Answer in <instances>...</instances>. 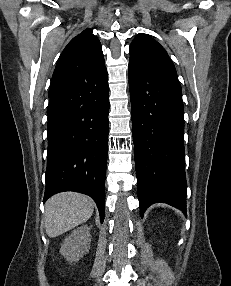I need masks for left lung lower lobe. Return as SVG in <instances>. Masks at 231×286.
Returning <instances> with one entry per match:
<instances>
[{
	"label": "left lung lower lobe",
	"instance_id": "obj_1",
	"mask_svg": "<svg viewBox=\"0 0 231 286\" xmlns=\"http://www.w3.org/2000/svg\"><path fill=\"white\" fill-rule=\"evenodd\" d=\"M134 158L141 216L164 202L186 214L184 108L177 78L129 62Z\"/></svg>",
	"mask_w": 231,
	"mask_h": 286
}]
</instances>
